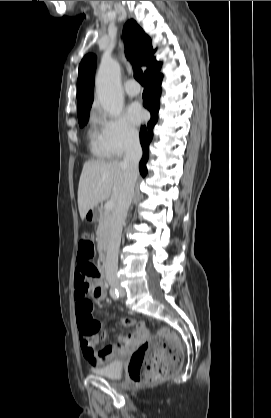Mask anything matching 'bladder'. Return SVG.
<instances>
[{
  "mask_svg": "<svg viewBox=\"0 0 271 418\" xmlns=\"http://www.w3.org/2000/svg\"><path fill=\"white\" fill-rule=\"evenodd\" d=\"M92 372L107 379H119L123 372V362L121 360H113L101 367L94 368Z\"/></svg>",
  "mask_w": 271,
  "mask_h": 418,
  "instance_id": "bladder-1",
  "label": "bladder"
}]
</instances>
